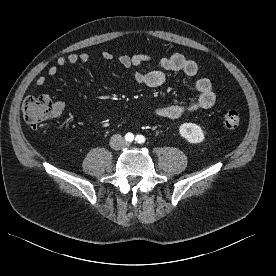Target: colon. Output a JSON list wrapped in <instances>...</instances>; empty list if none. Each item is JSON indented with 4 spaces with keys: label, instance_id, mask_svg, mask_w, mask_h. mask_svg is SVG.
I'll return each instance as SVG.
<instances>
[{
    "label": "colon",
    "instance_id": "5ec220e1",
    "mask_svg": "<svg viewBox=\"0 0 276 276\" xmlns=\"http://www.w3.org/2000/svg\"><path fill=\"white\" fill-rule=\"evenodd\" d=\"M55 112V104L46 95L26 97L22 103V115L25 122L33 128L38 129L49 120ZM227 128H238L241 123V115L236 110H227L223 117Z\"/></svg>",
    "mask_w": 276,
    "mask_h": 276
}]
</instances>
